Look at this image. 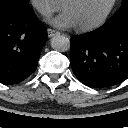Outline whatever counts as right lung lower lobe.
Here are the masks:
<instances>
[{"label":"right lung lower lobe","mask_w":128,"mask_h":128,"mask_svg":"<svg viewBox=\"0 0 128 128\" xmlns=\"http://www.w3.org/2000/svg\"><path fill=\"white\" fill-rule=\"evenodd\" d=\"M46 39L31 7H0V82L16 84L32 74Z\"/></svg>","instance_id":"98d812e1"}]
</instances>
